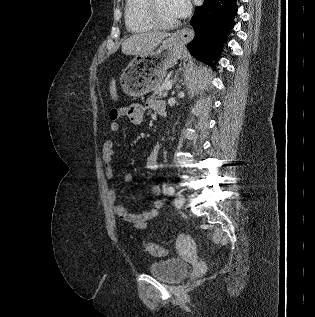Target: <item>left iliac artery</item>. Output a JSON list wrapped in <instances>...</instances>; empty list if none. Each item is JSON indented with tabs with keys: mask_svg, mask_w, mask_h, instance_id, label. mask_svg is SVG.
I'll use <instances>...</instances> for the list:
<instances>
[{
	"mask_svg": "<svg viewBox=\"0 0 315 317\" xmlns=\"http://www.w3.org/2000/svg\"><path fill=\"white\" fill-rule=\"evenodd\" d=\"M174 192H175V189H174L173 186H169V187L167 188V193H168L169 195H173Z\"/></svg>",
	"mask_w": 315,
	"mask_h": 317,
	"instance_id": "left-iliac-artery-1",
	"label": "left iliac artery"
}]
</instances>
